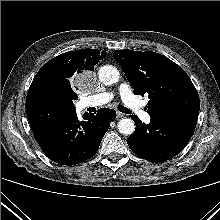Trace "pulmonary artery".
<instances>
[{
    "label": "pulmonary artery",
    "mask_w": 220,
    "mask_h": 220,
    "mask_svg": "<svg viewBox=\"0 0 220 220\" xmlns=\"http://www.w3.org/2000/svg\"><path fill=\"white\" fill-rule=\"evenodd\" d=\"M118 92L121 96L123 103L135 113L144 122L150 121V115L144 109L143 103L136 98L130 86L127 83H122L118 87ZM114 97L112 92H103L93 95L87 99V105L97 106L108 103Z\"/></svg>",
    "instance_id": "1"
}]
</instances>
